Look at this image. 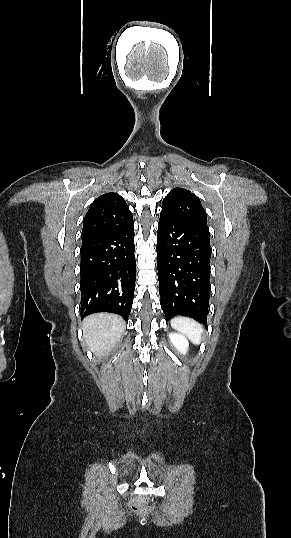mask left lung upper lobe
Wrapping results in <instances>:
<instances>
[{"label": "left lung upper lobe", "mask_w": 291, "mask_h": 538, "mask_svg": "<svg viewBox=\"0 0 291 538\" xmlns=\"http://www.w3.org/2000/svg\"><path fill=\"white\" fill-rule=\"evenodd\" d=\"M178 219L207 226V213L199 198L189 190L175 188L163 199L162 211ZM177 315H179L177 313Z\"/></svg>", "instance_id": "left-lung-upper-lobe-1"}]
</instances>
